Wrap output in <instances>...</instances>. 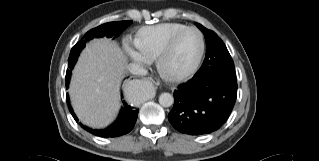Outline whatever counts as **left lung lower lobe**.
<instances>
[{"label":"left lung lower lobe","instance_id":"left-lung-lower-lobe-1","mask_svg":"<svg viewBox=\"0 0 319 161\" xmlns=\"http://www.w3.org/2000/svg\"><path fill=\"white\" fill-rule=\"evenodd\" d=\"M236 97L235 79L221 75L193 77L174 91L175 102L168 119L181 133L208 134L224 124Z\"/></svg>","mask_w":319,"mask_h":161}]
</instances>
